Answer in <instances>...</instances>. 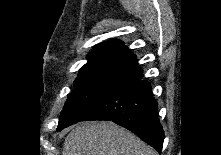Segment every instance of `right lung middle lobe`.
Returning <instances> with one entry per match:
<instances>
[{
    "label": "right lung middle lobe",
    "instance_id": "right-lung-middle-lobe-1",
    "mask_svg": "<svg viewBox=\"0 0 221 155\" xmlns=\"http://www.w3.org/2000/svg\"><path fill=\"white\" fill-rule=\"evenodd\" d=\"M121 56L106 55L89 58L74 82L75 90L67 99L57 131L81 121L87 114Z\"/></svg>",
    "mask_w": 221,
    "mask_h": 155
}]
</instances>
